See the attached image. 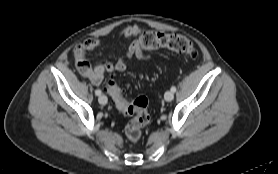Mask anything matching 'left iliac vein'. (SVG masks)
Wrapping results in <instances>:
<instances>
[{
	"instance_id": "left-iliac-vein-1",
	"label": "left iliac vein",
	"mask_w": 278,
	"mask_h": 174,
	"mask_svg": "<svg viewBox=\"0 0 278 174\" xmlns=\"http://www.w3.org/2000/svg\"><path fill=\"white\" fill-rule=\"evenodd\" d=\"M164 98L168 102L172 101L173 98H174L173 92L172 91H166L165 94H164Z\"/></svg>"
}]
</instances>
